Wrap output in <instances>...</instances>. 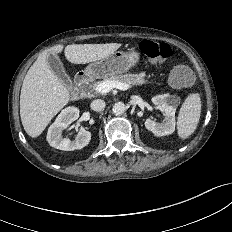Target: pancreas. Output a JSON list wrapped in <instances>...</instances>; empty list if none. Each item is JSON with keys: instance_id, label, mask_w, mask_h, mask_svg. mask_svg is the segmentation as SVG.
<instances>
[{"instance_id": "pancreas-1", "label": "pancreas", "mask_w": 232, "mask_h": 232, "mask_svg": "<svg viewBox=\"0 0 232 232\" xmlns=\"http://www.w3.org/2000/svg\"><path fill=\"white\" fill-rule=\"evenodd\" d=\"M145 76L146 74L144 72L139 73V74L130 73V74H124V75L107 76V77H104L103 81H98V82L93 83L91 87L95 90L98 84H100L101 82H105V81H119L122 83H128V84H133V85H142L147 82V80L145 79Z\"/></svg>"}]
</instances>
